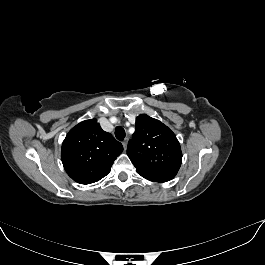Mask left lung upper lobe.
I'll return each instance as SVG.
<instances>
[{"label":"left lung upper lobe","instance_id":"1","mask_svg":"<svg viewBox=\"0 0 265 265\" xmlns=\"http://www.w3.org/2000/svg\"><path fill=\"white\" fill-rule=\"evenodd\" d=\"M127 155L138 174L153 182L173 179L182 162V151L175 134L162 122L146 114L136 118Z\"/></svg>","mask_w":265,"mask_h":265}]
</instances>
